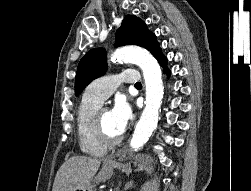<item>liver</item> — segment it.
<instances>
[{
  "label": "liver",
  "instance_id": "1",
  "mask_svg": "<svg viewBox=\"0 0 251 191\" xmlns=\"http://www.w3.org/2000/svg\"><path fill=\"white\" fill-rule=\"evenodd\" d=\"M100 159L86 157V155H73L66 159L59 167L52 191H75L90 185L100 167Z\"/></svg>",
  "mask_w": 251,
  "mask_h": 191
}]
</instances>
